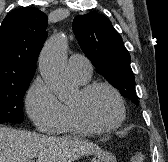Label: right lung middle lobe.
<instances>
[{
  "instance_id": "dd1d6c3e",
  "label": "right lung middle lobe",
  "mask_w": 168,
  "mask_h": 162,
  "mask_svg": "<svg viewBox=\"0 0 168 162\" xmlns=\"http://www.w3.org/2000/svg\"><path fill=\"white\" fill-rule=\"evenodd\" d=\"M34 75L0 81V124L23 121V97Z\"/></svg>"
}]
</instances>
